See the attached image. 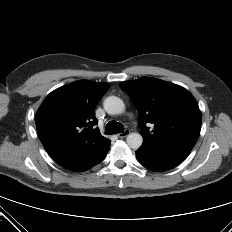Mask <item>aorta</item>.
Listing matches in <instances>:
<instances>
[{"label":"aorta","mask_w":232,"mask_h":232,"mask_svg":"<svg viewBox=\"0 0 232 232\" xmlns=\"http://www.w3.org/2000/svg\"><path fill=\"white\" fill-rule=\"evenodd\" d=\"M103 106L105 111L110 115H118L123 113L125 110L124 102L116 96L107 97ZM126 142L130 148L138 149L143 143V138L139 133H130L126 138Z\"/></svg>","instance_id":"obj_1"}]
</instances>
